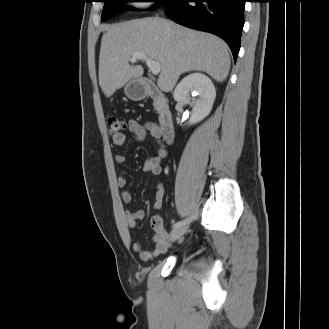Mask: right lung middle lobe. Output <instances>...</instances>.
Returning <instances> with one entry per match:
<instances>
[{
	"label": "right lung middle lobe",
	"mask_w": 329,
	"mask_h": 329,
	"mask_svg": "<svg viewBox=\"0 0 329 329\" xmlns=\"http://www.w3.org/2000/svg\"><path fill=\"white\" fill-rule=\"evenodd\" d=\"M129 0H104L105 5L102 12V20H107L114 14L124 11L126 8L122 5L123 2ZM155 4L151 9H156L158 6H164L169 0H155Z\"/></svg>",
	"instance_id": "right-lung-middle-lobe-1"
}]
</instances>
